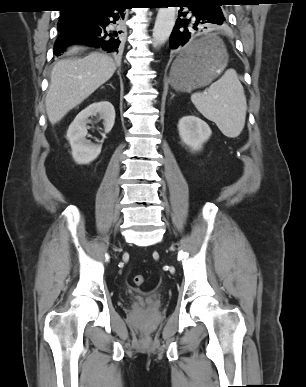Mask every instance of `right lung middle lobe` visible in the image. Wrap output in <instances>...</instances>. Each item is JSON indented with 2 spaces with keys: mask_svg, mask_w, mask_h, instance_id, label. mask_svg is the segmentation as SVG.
<instances>
[{
  "mask_svg": "<svg viewBox=\"0 0 306 387\" xmlns=\"http://www.w3.org/2000/svg\"><path fill=\"white\" fill-rule=\"evenodd\" d=\"M81 21V12L79 8L67 9L62 12L58 21V29L62 30L71 27Z\"/></svg>",
  "mask_w": 306,
  "mask_h": 387,
  "instance_id": "right-lung-middle-lobe-1",
  "label": "right lung middle lobe"
}]
</instances>
